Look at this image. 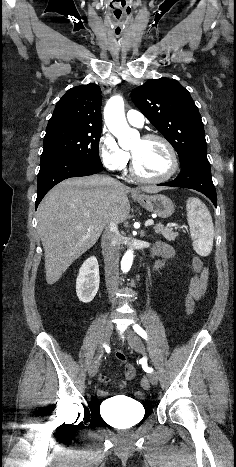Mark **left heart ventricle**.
<instances>
[{
    "label": "left heart ventricle",
    "mask_w": 236,
    "mask_h": 467,
    "mask_svg": "<svg viewBox=\"0 0 236 467\" xmlns=\"http://www.w3.org/2000/svg\"><path fill=\"white\" fill-rule=\"evenodd\" d=\"M140 174L146 177L165 175L171 167V158L164 144L158 140L135 141L130 149Z\"/></svg>",
    "instance_id": "left-heart-ventricle-1"
}]
</instances>
